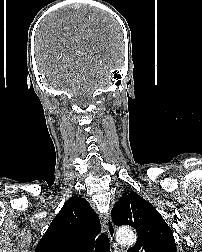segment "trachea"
<instances>
[{
	"label": "trachea",
	"instance_id": "obj_1",
	"mask_svg": "<svg viewBox=\"0 0 202 252\" xmlns=\"http://www.w3.org/2000/svg\"><path fill=\"white\" fill-rule=\"evenodd\" d=\"M95 252H110L108 235L102 233L96 240Z\"/></svg>",
	"mask_w": 202,
	"mask_h": 252
}]
</instances>
